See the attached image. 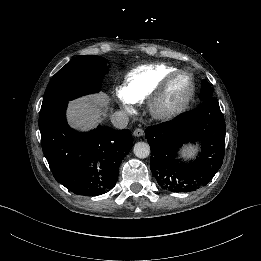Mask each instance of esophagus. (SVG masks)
<instances>
[{
	"mask_svg": "<svg viewBox=\"0 0 261 261\" xmlns=\"http://www.w3.org/2000/svg\"><path fill=\"white\" fill-rule=\"evenodd\" d=\"M133 135L136 137H141L144 135V130L141 128H137L134 130Z\"/></svg>",
	"mask_w": 261,
	"mask_h": 261,
	"instance_id": "obj_1",
	"label": "esophagus"
}]
</instances>
